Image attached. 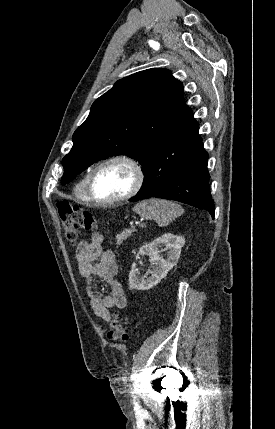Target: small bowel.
I'll return each instance as SVG.
<instances>
[{"mask_svg":"<svg viewBox=\"0 0 275 429\" xmlns=\"http://www.w3.org/2000/svg\"><path fill=\"white\" fill-rule=\"evenodd\" d=\"M103 237L93 234L90 241H82L76 248V259L80 274L86 279V292L94 313L105 321L111 319L110 309H123L127 297L116 279L118 267L115 255L102 249ZM95 277L101 278L108 286V292L100 294L95 287Z\"/></svg>","mask_w":275,"mask_h":429,"instance_id":"obj_1","label":"small bowel"}]
</instances>
